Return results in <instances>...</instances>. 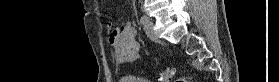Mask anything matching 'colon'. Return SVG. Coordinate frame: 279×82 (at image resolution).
I'll return each mask as SVG.
<instances>
[{"label":"colon","instance_id":"obj_1","mask_svg":"<svg viewBox=\"0 0 279 82\" xmlns=\"http://www.w3.org/2000/svg\"><path fill=\"white\" fill-rule=\"evenodd\" d=\"M175 73V69L173 67H169L165 69L161 76V82H169ZM190 77L186 76L180 80V82H188L190 81Z\"/></svg>","mask_w":279,"mask_h":82}]
</instances>
